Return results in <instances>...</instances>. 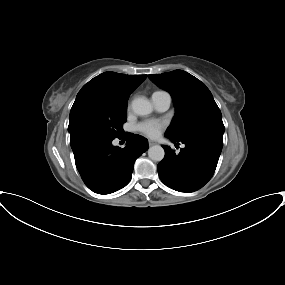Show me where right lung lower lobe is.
<instances>
[{"label": "right lung lower lobe", "mask_w": 285, "mask_h": 285, "mask_svg": "<svg viewBox=\"0 0 285 285\" xmlns=\"http://www.w3.org/2000/svg\"><path fill=\"white\" fill-rule=\"evenodd\" d=\"M127 146H113V139L87 138L71 145L76 167L85 185L95 193L110 194L125 187L135 160L148 149L146 138L126 133Z\"/></svg>", "instance_id": "98d812e1"}]
</instances>
